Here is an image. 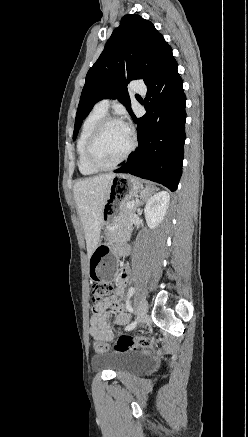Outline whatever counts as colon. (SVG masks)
I'll return each instance as SVG.
<instances>
[{"mask_svg":"<svg viewBox=\"0 0 248 437\" xmlns=\"http://www.w3.org/2000/svg\"><path fill=\"white\" fill-rule=\"evenodd\" d=\"M111 286H92L91 298L92 301L98 303L109 296ZM156 340L154 338L139 336H121L113 346V351L124 352L134 351L137 349H151L155 346ZM93 348L97 353H104L110 349V346L103 341H95Z\"/></svg>","mask_w":248,"mask_h":437,"instance_id":"1","label":"colon"}]
</instances>
